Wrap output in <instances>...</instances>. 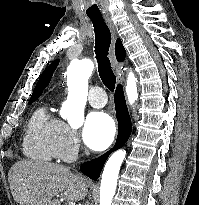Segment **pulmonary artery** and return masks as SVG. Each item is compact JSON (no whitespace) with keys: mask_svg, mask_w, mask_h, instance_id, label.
Here are the masks:
<instances>
[{"mask_svg":"<svg viewBox=\"0 0 199 205\" xmlns=\"http://www.w3.org/2000/svg\"><path fill=\"white\" fill-rule=\"evenodd\" d=\"M88 100L91 106L101 108L106 104L107 97L101 87L94 86L90 89Z\"/></svg>","mask_w":199,"mask_h":205,"instance_id":"e3ab8cb5","label":"pulmonary artery"}]
</instances>
